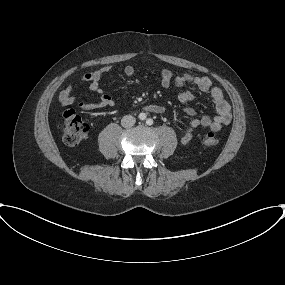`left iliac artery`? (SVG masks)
<instances>
[{"label": "left iliac artery", "mask_w": 285, "mask_h": 285, "mask_svg": "<svg viewBox=\"0 0 285 285\" xmlns=\"http://www.w3.org/2000/svg\"><path fill=\"white\" fill-rule=\"evenodd\" d=\"M147 125H152L153 124V120L151 118L147 119L146 121Z\"/></svg>", "instance_id": "left-iliac-artery-1"}]
</instances>
